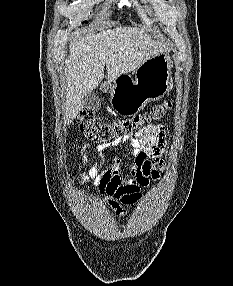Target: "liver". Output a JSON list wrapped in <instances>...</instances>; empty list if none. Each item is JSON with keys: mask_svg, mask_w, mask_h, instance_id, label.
I'll return each mask as SVG.
<instances>
[{"mask_svg": "<svg viewBox=\"0 0 233 286\" xmlns=\"http://www.w3.org/2000/svg\"><path fill=\"white\" fill-rule=\"evenodd\" d=\"M165 50L136 27L119 26L98 34L75 36L65 61L66 123L76 118L84 106L85 95L102 82L105 66L108 81L113 82Z\"/></svg>", "mask_w": 233, "mask_h": 286, "instance_id": "obj_1", "label": "liver"}]
</instances>
